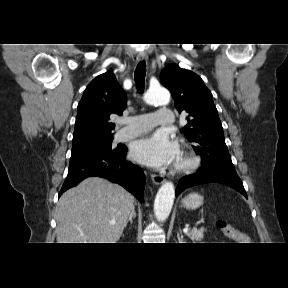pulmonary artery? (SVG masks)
I'll return each instance as SVG.
<instances>
[{
  "label": "pulmonary artery",
  "instance_id": "obj_1",
  "mask_svg": "<svg viewBox=\"0 0 288 288\" xmlns=\"http://www.w3.org/2000/svg\"><path fill=\"white\" fill-rule=\"evenodd\" d=\"M174 116L170 109L161 108L156 113H143L126 120V126L115 134L116 141H123L152 130L158 125H171Z\"/></svg>",
  "mask_w": 288,
  "mask_h": 288
}]
</instances>
